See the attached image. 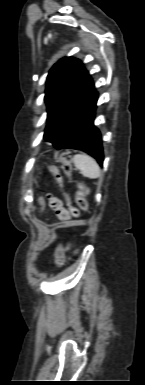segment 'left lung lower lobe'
<instances>
[{
  "label": "left lung lower lobe",
  "instance_id": "left-lung-lower-lobe-1",
  "mask_svg": "<svg viewBox=\"0 0 145 385\" xmlns=\"http://www.w3.org/2000/svg\"><path fill=\"white\" fill-rule=\"evenodd\" d=\"M97 96L92 82L81 100L62 120L49 142L57 149L83 150L91 154L102 166L103 149L100 132L93 125Z\"/></svg>",
  "mask_w": 145,
  "mask_h": 385
}]
</instances>
